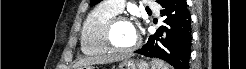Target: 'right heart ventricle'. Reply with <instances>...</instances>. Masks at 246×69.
<instances>
[{"label": "right heart ventricle", "mask_w": 246, "mask_h": 69, "mask_svg": "<svg viewBox=\"0 0 246 69\" xmlns=\"http://www.w3.org/2000/svg\"><path fill=\"white\" fill-rule=\"evenodd\" d=\"M117 14L105 2L88 14L81 35V50L84 54L106 55L110 53L104 34L109 20Z\"/></svg>", "instance_id": "obj_1"}]
</instances>
